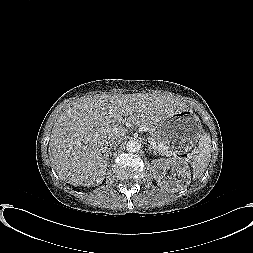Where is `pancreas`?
<instances>
[{"label":"pancreas","mask_w":253,"mask_h":253,"mask_svg":"<svg viewBox=\"0 0 253 253\" xmlns=\"http://www.w3.org/2000/svg\"><path fill=\"white\" fill-rule=\"evenodd\" d=\"M148 130L149 133L151 135V138L157 143V144H161L162 147L159 149H156V151L163 155V156H167V155H172L173 151L164 143V141L162 140L159 132L156 130L155 127L153 126H148Z\"/></svg>","instance_id":"1"}]
</instances>
